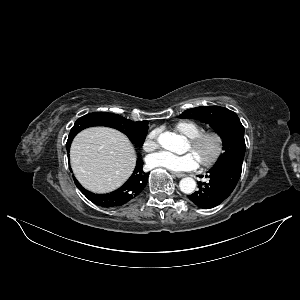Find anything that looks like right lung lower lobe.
I'll return each instance as SVG.
<instances>
[{
    "label": "right lung lower lobe",
    "mask_w": 300,
    "mask_h": 300,
    "mask_svg": "<svg viewBox=\"0 0 300 300\" xmlns=\"http://www.w3.org/2000/svg\"><path fill=\"white\" fill-rule=\"evenodd\" d=\"M71 142L67 143L69 152ZM69 156V155H68ZM143 161L137 159L136 168L131 177L119 189L107 194H95L84 189L74 178L76 186L94 204L102 207H119L136 198L146 187L149 173L143 172Z\"/></svg>",
    "instance_id": "right-lung-lower-lobe-1"
}]
</instances>
